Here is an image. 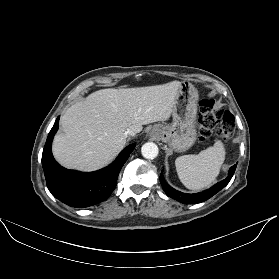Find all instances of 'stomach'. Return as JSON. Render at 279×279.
Wrapping results in <instances>:
<instances>
[{
  "instance_id": "stomach-1",
  "label": "stomach",
  "mask_w": 279,
  "mask_h": 279,
  "mask_svg": "<svg viewBox=\"0 0 279 279\" xmlns=\"http://www.w3.org/2000/svg\"><path fill=\"white\" fill-rule=\"evenodd\" d=\"M198 91L189 82H182L174 100L171 124H157V137L177 152H184L196 141Z\"/></svg>"
}]
</instances>
